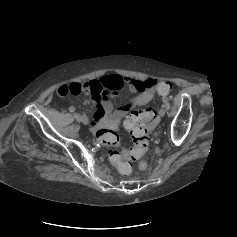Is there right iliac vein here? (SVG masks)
Instances as JSON below:
<instances>
[{"instance_id":"1","label":"right iliac vein","mask_w":237,"mask_h":237,"mask_svg":"<svg viewBox=\"0 0 237 237\" xmlns=\"http://www.w3.org/2000/svg\"><path fill=\"white\" fill-rule=\"evenodd\" d=\"M81 121H82V123H83L84 125H88V124H89V120H88V118H87L85 115H83V116L81 117Z\"/></svg>"}]
</instances>
